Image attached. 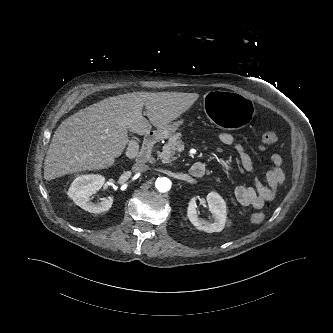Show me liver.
Masks as SVG:
<instances>
[{"label": "liver", "instance_id": "1", "mask_svg": "<svg viewBox=\"0 0 333 333\" xmlns=\"http://www.w3.org/2000/svg\"><path fill=\"white\" fill-rule=\"evenodd\" d=\"M198 97L197 93L133 92L80 110L55 131L45 158L44 178L52 180L113 166L128 142V130L144 135L151 130V124L165 127L186 112ZM144 106L149 121L142 116Z\"/></svg>", "mask_w": 333, "mask_h": 333}]
</instances>
